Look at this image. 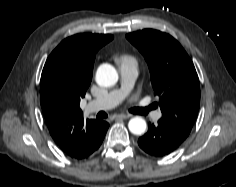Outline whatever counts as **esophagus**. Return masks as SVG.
Returning a JSON list of instances; mask_svg holds the SVG:
<instances>
[{"instance_id":"1","label":"esophagus","mask_w":236,"mask_h":187,"mask_svg":"<svg viewBox=\"0 0 236 187\" xmlns=\"http://www.w3.org/2000/svg\"><path fill=\"white\" fill-rule=\"evenodd\" d=\"M130 117V115H128V114H118V115H116V119H127V118H129Z\"/></svg>"}]
</instances>
